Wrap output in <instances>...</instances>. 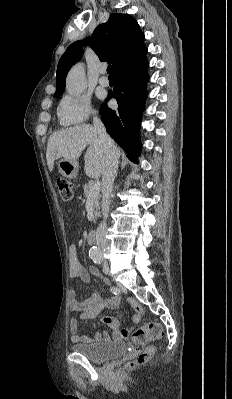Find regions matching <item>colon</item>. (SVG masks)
Masks as SVG:
<instances>
[{
  "mask_svg": "<svg viewBox=\"0 0 232 399\" xmlns=\"http://www.w3.org/2000/svg\"><path fill=\"white\" fill-rule=\"evenodd\" d=\"M56 185L61 191V198L73 199V185L70 180H56ZM67 214H72V209H67ZM158 321H149L148 326H136L135 330L130 334L129 353H138V358L128 361V368H139L140 365L149 363L152 358V351H145V347H151V341H158V337H162V330H159Z\"/></svg>",
  "mask_w": 232,
  "mask_h": 399,
  "instance_id": "colon-1",
  "label": "colon"
}]
</instances>
